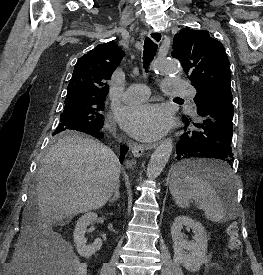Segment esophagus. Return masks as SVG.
Returning <instances> with one entry per match:
<instances>
[{
    "label": "esophagus",
    "instance_id": "esophagus-1",
    "mask_svg": "<svg viewBox=\"0 0 263 275\" xmlns=\"http://www.w3.org/2000/svg\"><path fill=\"white\" fill-rule=\"evenodd\" d=\"M148 35H149V38L156 44H160L162 42L163 36L160 32L155 31V30H150ZM157 145H158V143L142 145V144H138V143L134 142L131 145L132 154L134 157H140V156H142L145 149L155 148Z\"/></svg>",
    "mask_w": 263,
    "mask_h": 275
}]
</instances>
